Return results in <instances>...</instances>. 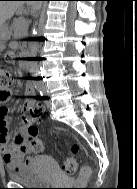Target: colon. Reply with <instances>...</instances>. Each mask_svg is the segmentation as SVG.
I'll list each match as a JSON object with an SVG mask.
<instances>
[{"label": "colon", "instance_id": "obj_1", "mask_svg": "<svg viewBox=\"0 0 137 189\" xmlns=\"http://www.w3.org/2000/svg\"><path fill=\"white\" fill-rule=\"evenodd\" d=\"M13 74L12 71L3 65H0V99H7L9 96L8 88L12 84ZM44 108L40 103H34L26 107V113L31 120H36L40 118L43 114ZM28 136L24 139V145L29 149L38 154L43 151V144L38 136V129L32 122L28 126ZM73 152L78 153L80 147L77 144L72 146ZM77 169V161L74 157H68L63 163V170L66 174H74ZM91 175V171L86 169L82 173L83 179H88Z\"/></svg>", "mask_w": 137, "mask_h": 189}]
</instances>
